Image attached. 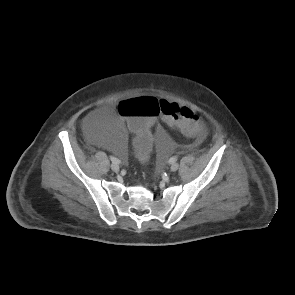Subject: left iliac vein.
<instances>
[{
  "label": "left iliac vein",
  "instance_id": "4c4485c4",
  "mask_svg": "<svg viewBox=\"0 0 295 295\" xmlns=\"http://www.w3.org/2000/svg\"><path fill=\"white\" fill-rule=\"evenodd\" d=\"M178 168H179V164L178 163H173L172 165H171V167H170V169H171V171L172 172H175V171H177L178 170Z\"/></svg>",
  "mask_w": 295,
  "mask_h": 295
}]
</instances>
